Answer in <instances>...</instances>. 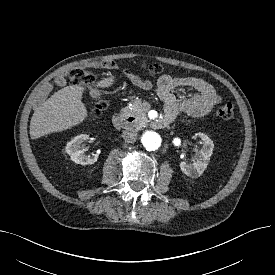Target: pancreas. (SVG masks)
Instances as JSON below:
<instances>
[{
	"mask_svg": "<svg viewBox=\"0 0 275 275\" xmlns=\"http://www.w3.org/2000/svg\"><path fill=\"white\" fill-rule=\"evenodd\" d=\"M151 105L148 102L137 100L131 106L122 110V115L134 117L137 124L145 126L148 123L146 113L150 110Z\"/></svg>",
	"mask_w": 275,
	"mask_h": 275,
	"instance_id": "pancreas-1",
	"label": "pancreas"
}]
</instances>
